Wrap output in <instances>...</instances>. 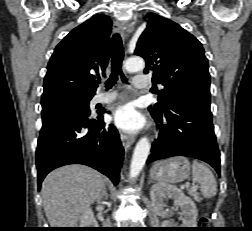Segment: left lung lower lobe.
I'll list each match as a JSON object with an SVG mask.
<instances>
[{
    "label": "left lung lower lobe",
    "instance_id": "obj_1",
    "mask_svg": "<svg viewBox=\"0 0 252 231\" xmlns=\"http://www.w3.org/2000/svg\"><path fill=\"white\" fill-rule=\"evenodd\" d=\"M151 114L160 133L147 164L172 156H189L209 163L220 176L210 98L197 93L174 96L163 110Z\"/></svg>",
    "mask_w": 252,
    "mask_h": 231
}]
</instances>
